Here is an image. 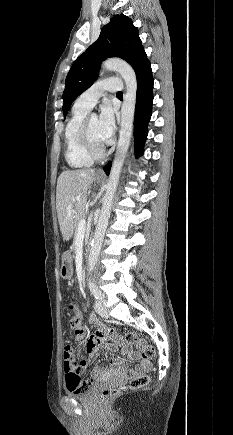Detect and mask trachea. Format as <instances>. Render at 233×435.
<instances>
[{
  "instance_id": "obj_1",
  "label": "trachea",
  "mask_w": 233,
  "mask_h": 435,
  "mask_svg": "<svg viewBox=\"0 0 233 435\" xmlns=\"http://www.w3.org/2000/svg\"><path fill=\"white\" fill-rule=\"evenodd\" d=\"M118 94H122V92H118Z\"/></svg>"
}]
</instances>
